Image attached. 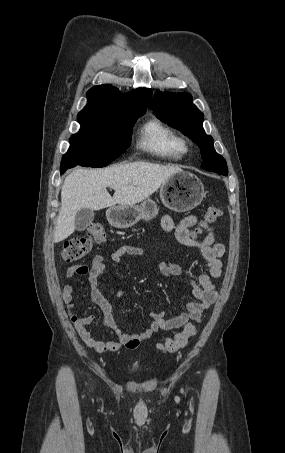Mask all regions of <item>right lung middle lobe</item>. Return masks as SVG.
Returning a JSON list of instances; mask_svg holds the SVG:
<instances>
[{
    "label": "right lung middle lobe",
    "instance_id": "dd1d6c3e",
    "mask_svg": "<svg viewBox=\"0 0 285 453\" xmlns=\"http://www.w3.org/2000/svg\"><path fill=\"white\" fill-rule=\"evenodd\" d=\"M145 111L114 113L82 110L78 114L80 131L71 136L70 148L61 164L105 167L130 146L132 129Z\"/></svg>",
    "mask_w": 285,
    "mask_h": 453
}]
</instances>
